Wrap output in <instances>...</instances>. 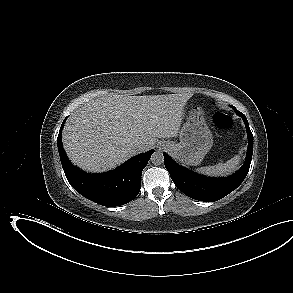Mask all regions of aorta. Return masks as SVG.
<instances>
[{"label":"aorta","instance_id":"762f6f07","mask_svg":"<svg viewBox=\"0 0 293 293\" xmlns=\"http://www.w3.org/2000/svg\"><path fill=\"white\" fill-rule=\"evenodd\" d=\"M150 160L154 165H161L164 161V156L160 151H156L151 155Z\"/></svg>","mask_w":293,"mask_h":293}]
</instances>
